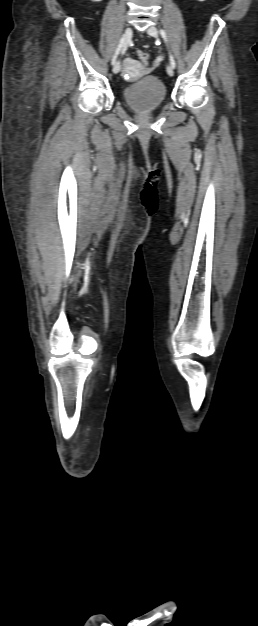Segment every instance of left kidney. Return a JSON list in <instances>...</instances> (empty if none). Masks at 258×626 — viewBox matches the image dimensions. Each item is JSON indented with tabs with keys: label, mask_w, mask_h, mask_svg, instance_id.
<instances>
[{
	"label": "left kidney",
	"mask_w": 258,
	"mask_h": 626,
	"mask_svg": "<svg viewBox=\"0 0 258 626\" xmlns=\"http://www.w3.org/2000/svg\"><path fill=\"white\" fill-rule=\"evenodd\" d=\"M198 1L203 2V1H205V0H198Z\"/></svg>",
	"instance_id": "left-kidney-1"
}]
</instances>
